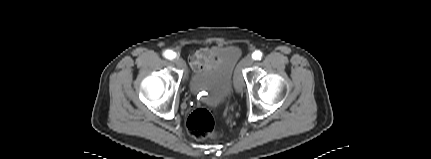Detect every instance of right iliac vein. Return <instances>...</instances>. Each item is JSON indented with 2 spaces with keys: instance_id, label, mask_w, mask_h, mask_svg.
Wrapping results in <instances>:
<instances>
[{
  "instance_id": "right-iliac-vein-1",
  "label": "right iliac vein",
  "mask_w": 431,
  "mask_h": 159,
  "mask_svg": "<svg viewBox=\"0 0 431 159\" xmlns=\"http://www.w3.org/2000/svg\"><path fill=\"white\" fill-rule=\"evenodd\" d=\"M174 62L177 65V67L182 68V69H186L185 61L181 57H177L174 60ZM184 79H186V73H185Z\"/></svg>"
}]
</instances>
